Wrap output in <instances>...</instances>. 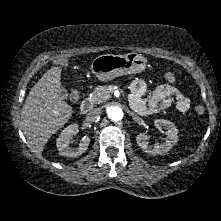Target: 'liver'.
Instances as JSON below:
<instances>
[{
	"label": "liver",
	"instance_id": "liver-1",
	"mask_svg": "<svg viewBox=\"0 0 221 221\" xmlns=\"http://www.w3.org/2000/svg\"><path fill=\"white\" fill-rule=\"evenodd\" d=\"M60 66L49 69L33 86L21 113V127L31 150L41 154L49 138L72 116L71 106L59 95Z\"/></svg>",
	"mask_w": 221,
	"mask_h": 221
}]
</instances>
